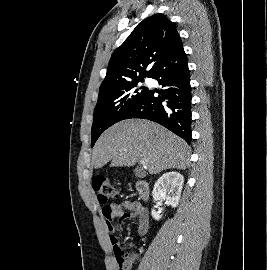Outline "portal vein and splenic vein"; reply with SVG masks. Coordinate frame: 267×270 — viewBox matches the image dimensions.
<instances>
[{"mask_svg":"<svg viewBox=\"0 0 267 270\" xmlns=\"http://www.w3.org/2000/svg\"><path fill=\"white\" fill-rule=\"evenodd\" d=\"M140 163L145 166V161L144 160H140Z\"/></svg>","mask_w":267,"mask_h":270,"instance_id":"18ae733b","label":"portal vein and splenic vein"}]
</instances>
